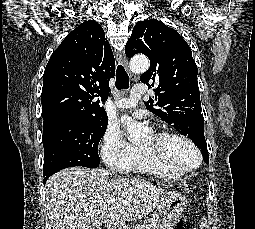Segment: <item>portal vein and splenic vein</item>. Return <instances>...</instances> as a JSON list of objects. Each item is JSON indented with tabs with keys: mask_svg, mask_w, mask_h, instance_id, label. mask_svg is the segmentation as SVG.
<instances>
[{
	"mask_svg": "<svg viewBox=\"0 0 255 229\" xmlns=\"http://www.w3.org/2000/svg\"><path fill=\"white\" fill-rule=\"evenodd\" d=\"M117 199H112L111 202H115Z\"/></svg>",
	"mask_w": 255,
	"mask_h": 229,
	"instance_id": "18ae733b",
	"label": "portal vein and splenic vein"
}]
</instances>
